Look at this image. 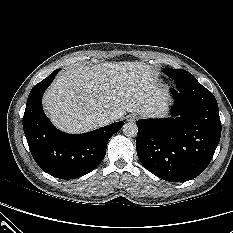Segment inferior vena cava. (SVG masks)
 Masks as SVG:
<instances>
[{"instance_id":"602c4592","label":"inferior vena cava","mask_w":233,"mask_h":233,"mask_svg":"<svg viewBox=\"0 0 233 233\" xmlns=\"http://www.w3.org/2000/svg\"><path fill=\"white\" fill-rule=\"evenodd\" d=\"M97 122H99V124L104 126V125L111 123L112 119L109 115L104 114L97 119Z\"/></svg>"}]
</instances>
